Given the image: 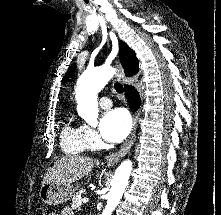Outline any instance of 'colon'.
Masks as SVG:
<instances>
[{"mask_svg": "<svg viewBox=\"0 0 221 215\" xmlns=\"http://www.w3.org/2000/svg\"><path fill=\"white\" fill-rule=\"evenodd\" d=\"M43 215H58L54 211L47 210Z\"/></svg>", "mask_w": 221, "mask_h": 215, "instance_id": "colon-1", "label": "colon"}]
</instances>
